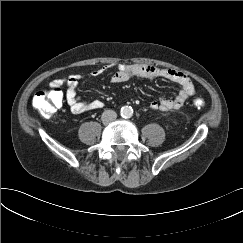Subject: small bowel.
Returning a JSON list of instances; mask_svg holds the SVG:
<instances>
[{"instance_id": "1", "label": "small bowel", "mask_w": 243, "mask_h": 243, "mask_svg": "<svg viewBox=\"0 0 243 243\" xmlns=\"http://www.w3.org/2000/svg\"><path fill=\"white\" fill-rule=\"evenodd\" d=\"M115 69L111 77L112 83H123L132 77L139 79L165 78L181 86V89L174 98H163L153 100L150 107L154 110L170 111L181 108L185 101L194 94L195 87L191 77L181 71L165 69L155 65L137 64V63H116L111 65ZM103 69L94 70L89 73L91 78L101 75ZM82 78L79 74H71L64 78L54 79L50 82V88H60L66 85V102L73 114H83L89 111L100 109L104 106L103 101L99 99L83 100L77 94V86Z\"/></svg>"}]
</instances>
